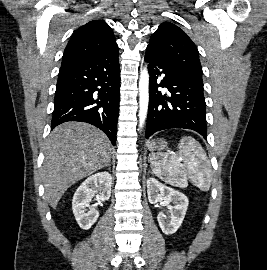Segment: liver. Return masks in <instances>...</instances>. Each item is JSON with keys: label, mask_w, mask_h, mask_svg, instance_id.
<instances>
[{"label": "liver", "mask_w": 267, "mask_h": 270, "mask_svg": "<svg viewBox=\"0 0 267 270\" xmlns=\"http://www.w3.org/2000/svg\"><path fill=\"white\" fill-rule=\"evenodd\" d=\"M107 136L86 123L67 122L56 127L45 146L42 180L52 208L69 187L102 169L111 160Z\"/></svg>", "instance_id": "6515ba94"}]
</instances>
